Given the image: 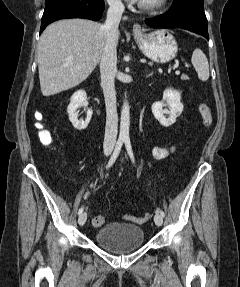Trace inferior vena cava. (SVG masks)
<instances>
[{"mask_svg": "<svg viewBox=\"0 0 240 287\" xmlns=\"http://www.w3.org/2000/svg\"><path fill=\"white\" fill-rule=\"evenodd\" d=\"M109 9L107 18L102 26L105 44L100 59L101 87L106 105V127L104 148H113L118 133V116L116 107V92L114 80L117 74L118 26L124 12V5L120 0H107Z\"/></svg>", "mask_w": 240, "mask_h": 287, "instance_id": "inferior-vena-cava-1", "label": "inferior vena cava"}]
</instances>
